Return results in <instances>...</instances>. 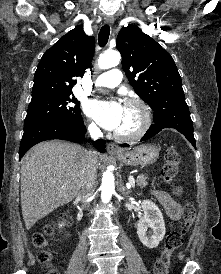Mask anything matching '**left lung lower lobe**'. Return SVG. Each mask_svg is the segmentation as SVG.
Instances as JSON below:
<instances>
[{"instance_id": "left-lung-lower-lobe-1", "label": "left lung lower lobe", "mask_w": 221, "mask_h": 274, "mask_svg": "<svg viewBox=\"0 0 221 274\" xmlns=\"http://www.w3.org/2000/svg\"><path fill=\"white\" fill-rule=\"evenodd\" d=\"M154 124L142 137L141 141L148 140L159 133L164 128H173L181 132L187 140L196 148V141L193 135V124L189 113V108L185 102H180L175 106L158 112L154 115ZM129 145L123 144L122 147Z\"/></svg>"}]
</instances>
